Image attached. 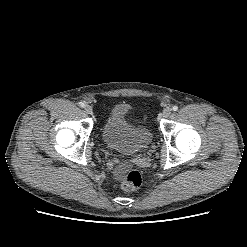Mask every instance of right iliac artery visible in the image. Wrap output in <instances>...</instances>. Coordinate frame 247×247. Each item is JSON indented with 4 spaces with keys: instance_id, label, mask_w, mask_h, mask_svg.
<instances>
[{
    "instance_id": "1",
    "label": "right iliac artery",
    "mask_w": 247,
    "mask_h": 247,
    "mask_svg": "<svg viewBox=\"0 0 247 247\" xmlns=\"http://www.w3.org/2000/svg\"><path fill=\"white\" fill-rule=\"evenodd\" d=\"M79 106H80V107H85V103L79 102Z\"/></svg>"
}]
</instances>
